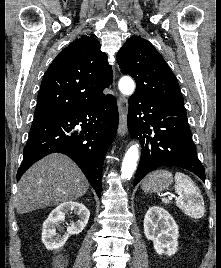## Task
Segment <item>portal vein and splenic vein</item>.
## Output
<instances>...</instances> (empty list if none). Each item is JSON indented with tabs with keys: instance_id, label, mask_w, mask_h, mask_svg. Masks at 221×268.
I'll use <instances>...</instances> for the list:
<instances>
[{
	"instance_id": "1",
	"label": "portal vein and splenic vein",
	"mask_w": 221,
	"mask_h": 268,
	"mask_svg": "<svg viewBox=\"0 0 221 268\" xmlns=\"http://www.w3.org/2000/svg\"><path fill=\"white\" fill-rule=\"evenodd\" d=\"M172 197H175V196H174V195H171V197H170V198L172 199ZM176 198H177V197H176Z\"/></svg>"
}]
</instances>
